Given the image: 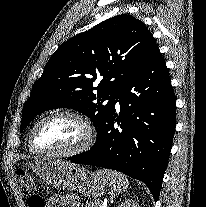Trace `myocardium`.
<instances>
[{
  "label": "myocardium",
  "mask_w": 206,
  "mask_h": 207,
  "mask_svg": "<svg viewBox=\"0 0 206 207\" xmlns=\"http://www.w3.org/2000/svg\"><path fill=\"white\" fill-rule=\"evenodd\" d=\"M61 116H67L72 117L76 120H78L85 128L86 131V137L84 141L77 147L69 149V150H50V149H44L36 145L35 143V132L37 128L46 120L55 118V117H61ZM95 140V130L91 123V121L84 116L83 114L72 111V110H60L55 111L52 113H49L39 119L34 126L32 127L30 134H29V145L31 149L39 154L44 155H51V156H63V157H69V156H75L82 154L89 150L91 146L93 145Z\"/></svg>",
  "instance_id": "obj_1"
}]
</instances>
